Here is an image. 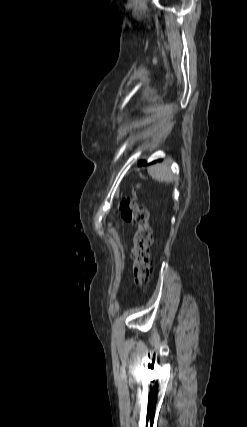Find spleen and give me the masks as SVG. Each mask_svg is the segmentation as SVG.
Here are the masks:
<instances>
[{
    "instance_id": "obj_1",
    "label": "spleen",
    "mask_w": 247,
    "mask_h": 427,
    "mask_svg": "<svg viewBox=\"0 0 247 427\" xmlns=\"http://www.w3.org/2000/svg\"><path fill=\"white\" fill-rule=\"evenodd\" d=\"M148 172L159 182L171 183L175 180V176L170 171V165L166 162L149 167Z\"/></svg>"
}]
</instances>
